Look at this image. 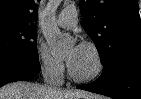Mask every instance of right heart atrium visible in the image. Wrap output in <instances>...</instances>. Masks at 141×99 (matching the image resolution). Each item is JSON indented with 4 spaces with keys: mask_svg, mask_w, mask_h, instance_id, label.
Segmentation results:
<instances>
[{
    "mask_svg": "<svg viewBox=\"0 0 141 99\" xmlns=\"http://www.w3.org/2000/svg\"><path fill=\"white\" fill-rule=\"evenodd\" d=\"M36 60L41 73L48 80L59 81L64 76V63L43 43H38L36 46Z\"/></svg>",
    "mask_w": 141,
    "mask_h": 99,
    "instance_id": "right-heart-atrium-1",
    "label": "right heart atrium"
}]
</instances>
